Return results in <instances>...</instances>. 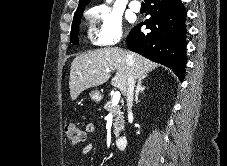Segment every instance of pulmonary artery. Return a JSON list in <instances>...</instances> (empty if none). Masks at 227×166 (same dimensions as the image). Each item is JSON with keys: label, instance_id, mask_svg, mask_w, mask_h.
<instances>
[{"label": "pulmonary artery", "instance_id": "e3ab8cb5", "mask_svg": "<svg viewBox=\"0 0 227 166\" xmlns=\"http://www.w3.org/2000/svg\"><path fill=\"white\" fill-rule=\"evenodd\" d=\"M129 7L132 11L138 12L141 9V4L138 0H133L130 2Z\"/></svg>", "mask_w": 227, "mask_h": 166}]
</instances>
